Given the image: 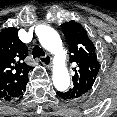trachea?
Segmentation results:
<instances>
[{"label":"trachea","instance_id":"obj_1","mask_svg":"<svg viewBox=\"0 0 117 117\" xmlns=\"http://www.w3.org/2000/svg\"><path fill=\"white\" fill-rule=\"evenodd\" d=\"M32 55H33L34 58L44 57L45 56V52L43 51L42 48H40L38 45H36L33 48Z\"/></svg>","mask_w":117,"mask_h":117}]
</instances>
